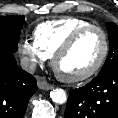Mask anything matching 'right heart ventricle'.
<instances>
[{"instance_id":"right-heart-ventricle-1","label":"right heart ventricle","mask_w":118,"mask_h":118,"mask_svg":"<svg viewBox=\"0 0 118 118\" xmlns=\"http://www.w3.org/2000/svg\"><path fill=\"white\" fill-rule=\"evenodd\" d=\"M92 25L79 17H63L39 24L33 33L36 45L50 58L77 30Z\"/></svg>"}]
</instances>
